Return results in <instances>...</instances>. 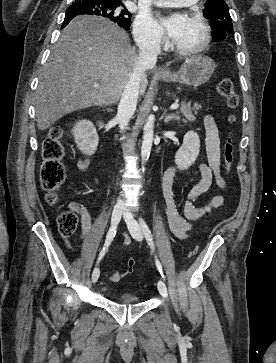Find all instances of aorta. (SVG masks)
Wrapping results in <instances>:
<instances>
[{
  "mask_svg": "<svg viewBox=\"0 0 276 363\" xmlns=\"http://www.w3.org/2000/svg\"><path fill=\"white\" fill-rule=\"evenodd\" d=\"M154 136V117L149 116L144 126V135L141 147L142 163L146 162L150 156Z\"/></svg>",
  "mask_w": 276,
  "mask_h": 363,
  "instance_id": "1",
  "label": "aorta"
}]
</instances>
